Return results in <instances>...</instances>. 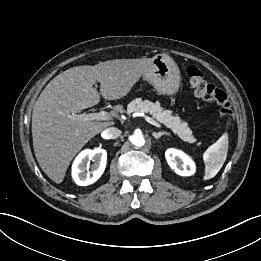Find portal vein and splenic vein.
Returning <instances> with one entry per match:
<instances>
[{
	"instance_id": "portal-vein-and-splenic-vein-1",
	"label": "portal vein and splenic vein",
	"mask_w": 261,
	"mask_h": 261,
	"mask_svg": "<svg viewBox=\"0 0 261 261\" xmlns=\"http://www.w3.org/2000/svg\"><path fill=\"white\" fill-rule=\"evenodd\" d=\"M71 119L79 121V122H84V121H108L111 119V114L106 112V111H100V112H96V113H88V114H72L69 116ZM145 120L147 122H149L150 124L156 126V127H161V125L156 122L155 120H153L151 117L149 116H144Z\"/></svg>"
}]
</instances>
